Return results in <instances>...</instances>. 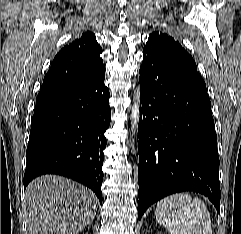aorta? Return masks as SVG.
Here are the masks:
<instances>
[{
    "label": "aorta",
    "mask_w": 241,
    "mask_h": 234,
    "mask_svg": "<svg viewBox=\"0 0 241 234\" xmlns=\"http://www.w3.org/2000/svg\"><path fill=\"white\" fill-rule=\"evenodd\" d=\"M140 92L139 90L136 93V98H135V103L134 106L132 108V114H131V125H132V131L134 129V127L138 124L139 121V113H140Z\"/></svg>",
    "instance_id": "762f6f07"
}]
</instances>
